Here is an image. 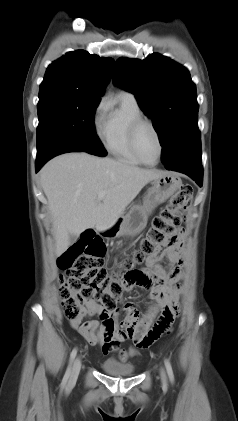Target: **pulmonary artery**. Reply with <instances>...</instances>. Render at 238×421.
Here are the masks:
<instances>
[{"instance_id":"e3ab8cb5","label":"pulmonary artery","mask_w":238,"mask_h":421,"mask_svg":"<svg viewBox=\"0 0 238 421\" xmlns=\"http://www.w3.org/2000/svg\"><path fill=\"white\" fill-rule=\"evenodd\" d=\"M125 94H127V95H129V96H131V97L134 98V96L131 93L125 92Z\"/></svg>"}]
</instances>
